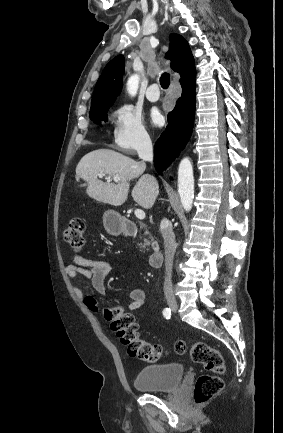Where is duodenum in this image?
Returning <instances> with one entry per match:
<instances>
[{
	"label": "duodenum",
	"mask_w": 283,
	"mask_h": 433,
	"mask_svg": "<svg viewBox=\"0 0 283 433\" xmlns=\"http://www.w3.org/2000/svg\"><path fill=\"white\" fill-rule=\"evenodd\" d=\"M123 230L125 232V234L127 235H136L138 232V227L136 226V224H134L131 221H124L123 223ZM163 252L161 250H155L150 258H149V263L152 267H160L162 265L163 262Z\"/></svg>",
	"instance_id": "obj_1"
}]
</instances>
